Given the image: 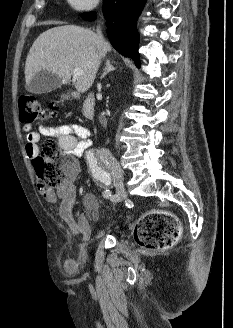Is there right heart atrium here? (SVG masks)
I'll list each match as a JSON object with an SVG mask.
<instances>
[{"label":"right heart atrium","mask_w":233,"mask_h":328,"mask_svg":"<svg viewBox=\"0 0 233 328\" xmlns=\"http://www.w3.org/2000/svg\"><path fill=\"white\" fill-rule=\"evenodd\" d=\"M67 2L76 11L89 12L98 6L100 0H67Z\"/></svg>","instance_id":"obj_1"}]
</instances>
